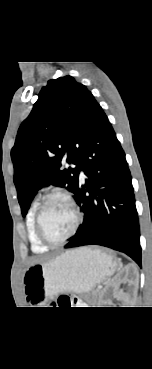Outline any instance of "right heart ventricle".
<instances>
[{
	"label": "right heart ventricle",
	"mask_w": 152,
	"mask_h": 369,
	"mask_svg": "<svg viewBox=\"0 0 152 369\" xmlns=\"http://www.w3.org/2000/svg\"><path fill=\"white\" fill-rule=\"evenodd\" d=\"M39 206V202L35 201L32 203L31 207L29 208L27 218H26V227L28 238L31 244V248L36 253H43L48 250V246L41 243L38 239L36 230H35V215L37 208Z\"/></svg>",
	"instance_id": "e07e8e85"
}]
</instances>
